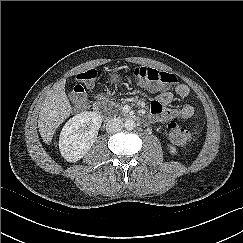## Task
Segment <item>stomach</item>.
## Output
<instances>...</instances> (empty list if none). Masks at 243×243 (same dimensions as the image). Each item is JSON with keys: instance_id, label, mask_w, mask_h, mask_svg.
<instances>
[{"instance_id": "0dacf381", "label": "stomach", "mask_w": 243, "mask_h": 243, "mask_svg": "<svg viewBox=\"0 0 243 243\" xmlns=\"http://www.w3.org/2000/svg\"><path fill=\"white\" fill-rule=\"evenodd\" d=\"M120 81V77L119 75L116 73V72H113L111 75H110V82L112 84H118Z\"/></svg>"}]
</instances>
